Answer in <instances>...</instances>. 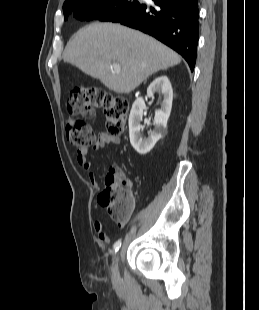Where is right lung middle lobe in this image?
I'll list each match as a JSON object with an SVG mask.
<instances>
[{"mask_svg": "<svg viewBox=\"0 0 259 310\" xmlns=\"http://www.w3.org/2000/svg\"><path fill=\"white\" fill-rule=\"evenodd\" d=\"M141 4L137 0H100L88 4L74 2L63 5L64 19L67 20L73 12V16L80 20L119 22Z\"/></svg>", "mask_w": 259, "mask_h": 310, "instance_id": "obj_1", "label": "right lung middle lobe"}]
</instances>
